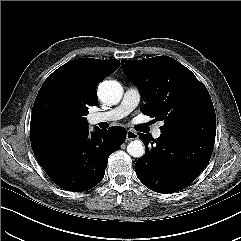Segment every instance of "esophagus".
<instances>
[{"mask_svg":"<svg viewBox=\"0 0 241 241\" xmlns=\"http://www.w3.org/2000/svg\"><path fill=\"white\" fill-rule=\"evenodd\" d=\"M138 137L139 136H138V134L135 131H133V130H128L127 131L126 139L128 141H132V140L138 139Z\"/></svg>","mask_w":241,"mask_h":241,"instance_id":"34e87169","label":"esophagus"}]
</instances>
